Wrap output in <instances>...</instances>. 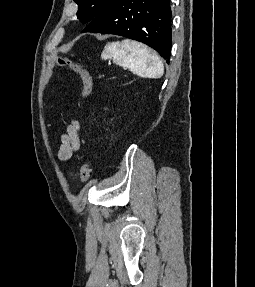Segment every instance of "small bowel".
Instances as JSON below:
<instances>
[{
    "instance_id": "small-bowel-1",
    "label": "small bowel",
    "mask_w": 255,
    "mask_h": 287,
    "mask_svg": "<svg viewBox=\"0 0 255 287\" xmlns=\"http://www.w3.org/2000/svg\"><path fill=\"white\" fill-rule=\"evenodd\" d=\"M80 148L79 124L72 121L66 128L65 133L60 137V146L57 158L60 161L69 160Z\"/></svg>"
}]
</instances>
